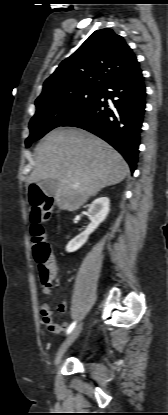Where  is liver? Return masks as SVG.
I'll list each match as a JSON object with an SVG mask.
<instances>
[{
  "label": "liver",
  "mask_w": 168,
  "mask_h": 415,
  "mask_svg": "<svg viewBox=\"0 0 168 415\" xmlns=\"http://www.w3.org/2000/svg\"><path fill=\"white\" fill-rule=\"evenodd\" d=\"M128 174L123 157L105 141L83 129L59 127L36 147L35 168L28 182L57 179V205L75 211L102 188L120 183Z\"/></svg>",
  "instance_id": "obj_1"
}]
</instances>
